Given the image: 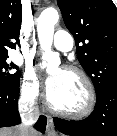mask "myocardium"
Listing matches in <instances>:
<instances>
[{
  "label": "myocardium",
  "instance_id": "obj_1",
  "mask_svg": "<svg viewBox=\"0 0 117 136\" xmlns=\"http://www.w3.org/2000/svg\"><path fill=\"white\" fill-rule=\"evenodd\" d=\"M66 71L77 75L82 80L87 92V102L85 106L78 111H65L59 109L51 104L49 93H47L46 95V105L51 112L65 118L75 119V120L86 118L94 111L96 106L97 94H96L95 86L89 75L83 69L77 66H67Z\"/></svg>",
  "mask_w": 117,
  "mask_h": 136
}]
</instances>
